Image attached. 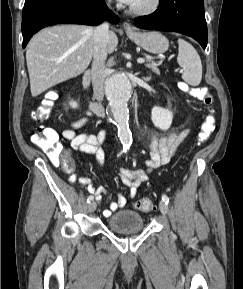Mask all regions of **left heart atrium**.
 Masks as SVG:
<instances>
[{"label": "left heart atrium", "instance_id": "39dd6f15", "mask_svg": "<svg viewBox=\"0 0 243 289\" xmlns=\"http://www.w3.org/2000/svg\"><path fill=\"white\" fill-rule=\"evenodd\" d=\"M119 1L127 5H132L135 2V0H119Z\"/></svg>", "mask_w": 243, "mask_h": 289}]
</instances>
